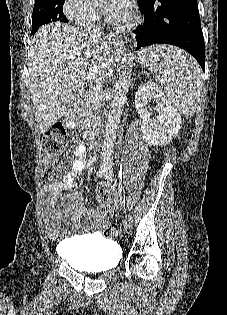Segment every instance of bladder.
<instances>
[{"label": "bladder", "mask_w": 227, "mask_h": 315, "mask_svg": "<svg viewBox=\"0 0 227 315\" xmlns=\"http://www.w3.org/2000/svg\"><path fill=\"white\" fill-rule=\"evenodd\" d=\"M59 252L71 267L87 271L112 269L121 258L119 245L98 235L69 238Z\"/></svg>", "instance_id": "bladder-1"}]
</instances>
